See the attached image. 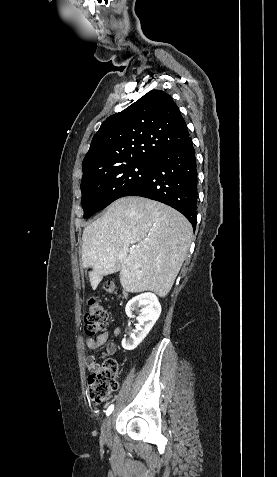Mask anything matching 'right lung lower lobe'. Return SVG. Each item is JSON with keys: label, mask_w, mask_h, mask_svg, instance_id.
Returning <instances> with one entry per match:
<instances>
[{"label": "right lung lower lobe", "mask_w": 277, "mask_h": 477, "mask_svg": "<svg viewBox=\"0 0 277 477\" xmlns=\"http://www.w3.org/2000/svg\"><path fill=\"white\" fill-rule=\"evenodd\" d=\"M197 164L189 137L158 156L146 177L125 196H141L165 203L181 212L196 228Z\"/></svg>", "instance_id": "right-lung-lower-lobe-1"}]
</instances>
